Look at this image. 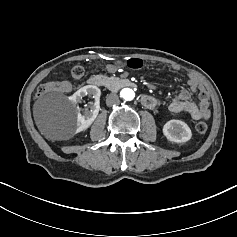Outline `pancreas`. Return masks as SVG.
<instances>
[{"mask_svg":"<svg viewBox=\"0 0 237 237\" xmlns=\"http://www.w3.org/2000/svg\"><path fill=\"white\" fill-rule=\"evenodd\" d=\"M120 82H121L120 78L115 77V76H110V78L106 79L105 86L108 89L115 90L119 86Z\"/></svg>","mask_w":237,"mask_h":237,"instance_id":"cf45deb5","label":"pancreas"}]
</instances>
